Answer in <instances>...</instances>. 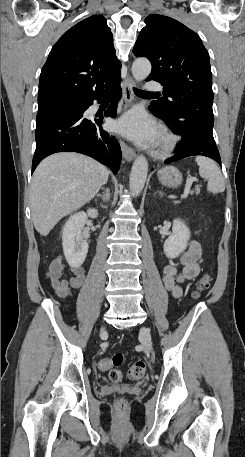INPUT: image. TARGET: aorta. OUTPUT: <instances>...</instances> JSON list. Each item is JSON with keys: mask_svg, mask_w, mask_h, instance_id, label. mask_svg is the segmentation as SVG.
I'll return each mask as SVG.
<instances>
[{"mask_svg": "<svg viewBox=\"0 0 245 457\" xmlns=\"http://www.w3.org/2000/svg\"><path fill=\"white\" fill-rule=\"evenodd\" d=\"M151 63L146 58H139L133 62L132 74L137 82L146 79L151 72ZM148 162L143 155L138 156L131 169L129 187L133 196H138L147 179Z\"/></svg>", "mask_w": 245, "mask_h": 457, "instance_id": "obj_1", "label": "aorta"}]
</instances>
